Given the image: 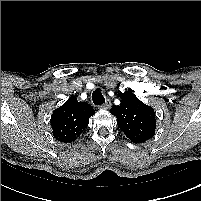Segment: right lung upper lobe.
<instances>
[{"label": "right lung upper lobe", "mask_w": 201, "mask_h": 201, "mask_svg": "<svg viewBox=\"0 0 201 201\" xmlns=\"http://www.w3.org/2000/svg\"><path fill=\"white\" fill-rule=\"evenodd\" d=\"M94 113L91 105L78 102L76 97L71 96L51 115L54 138L61 142L75 141L88 126L89 117Z\"/></svg>", "instance_id": "1"}]
</instances>
